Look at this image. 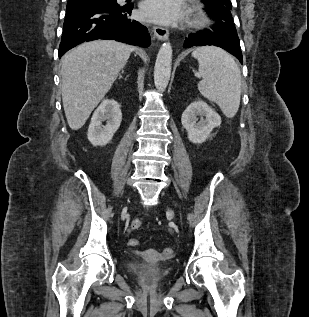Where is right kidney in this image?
<instances>
[{"label": "right kidney", "mask_w": 309, "mask_h": 317, "mask_svg": "<svg viewBox=\"0 0 309 317\" xmlns=\"http://www.w3.org/2000/svg\"><path fill=\"white\" fill-rule=\"evenodd\" d=\"M106 121V125L102 122ZM122 113L119 104L114 99H105L93 113L88 128V140L93 146L108 144L120 127Z\"/></svg>", "instance_id": "obj_1"}]
</instances>
